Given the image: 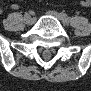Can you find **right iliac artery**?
<instances>
[{"instance_id": "82829eb1", "label": "right iliac artery", "mask_w": 91, "mask_h": 91, "mask_svg": "<svg viewBox=\"0 0 91 91\" xmlns=\"http://www.w3.org/2000/svg\"><path fill=\"white\" fill-rule=\"evenodd\" d=\"M27 15H29V14H28V13H26V14L24 15V17H25V16H27Z\"/></svg>"}]
</instances>
